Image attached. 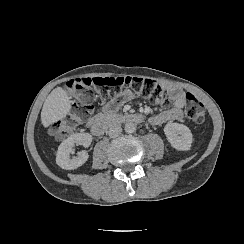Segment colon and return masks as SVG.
Wrapping results in <instances>:
<instances>
[{"label": "colon", "mask_w": 244, "mask_h": 244, "mask_svg": "<svg viewBox=\"0 0 244 244\" xmlns=\"http://www.w3.org/2000/svg\"><path fill=\"white\" fill-rule=\"evenodd\" d=\"M93 87L99 91H92ZM133 88L136 95L148 97L151 100L165 104L167 97L162 88L157 86L153 80L136 76L96 77L92 81L87 77L70 80L64 86V93L70 99H78L72 113L67 117L52 124L49 133L57 138L72 135L78 123L88 120V107L93 105L99 98L103 100L114 99L121 95L123 88ZM186 117L195 123L205 120L204 107L192 94L187 95Z\"/></svg>", "instance_id": "1"}]
</instances>
